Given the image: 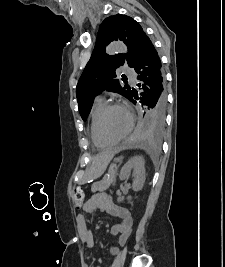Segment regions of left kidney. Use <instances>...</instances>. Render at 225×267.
<instances>
[{
  "label": "left kidney",
  "mask_w": 225,
  "mask_h": 267,
  "mask_svg": "<svg viewBox=\"0 0 225 267\" xmlns=\"http://www.w3.org/2000/svg\"><path fill=\"white\" fill-rule=\"evenodd\" d=\"M144 158L142 156H135L131 158L121 169L119 178L125 180L128 178L131 171H133L134 180L132 188L134 191H140L143 188L145 182V167ZM131 199V197H128ZM123 197L118 198V202L122 201Z\"/></svg>",
  "instance_id": "1"
}]
</instances>
